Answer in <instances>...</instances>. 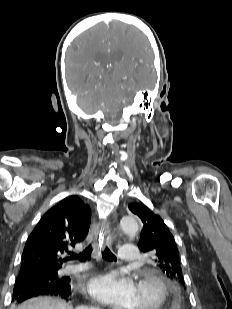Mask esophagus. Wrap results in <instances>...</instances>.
Returning a JSON list of instances; mask_svg holds the SVG:
<instances>
[{
    "instance_id": "34e87169",
    "label": "esophagus",
    "mask_w": 232,
    "mask_h": 309,
    "mask_svg": "<svg viewBox=\"0 0 232 309\" xmlns=\"http://www.w3.org/2000/svg\"><path fill=\"white\" fill-rule=\"evenodd\" d=\"M91 235L96 254L98 250H102L106 246L110 247L112 243L110 235V222L103 221L97 224L93 228Z\"/></svg>"
}]
</instances>
